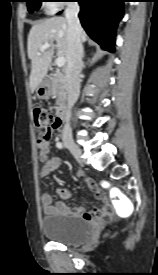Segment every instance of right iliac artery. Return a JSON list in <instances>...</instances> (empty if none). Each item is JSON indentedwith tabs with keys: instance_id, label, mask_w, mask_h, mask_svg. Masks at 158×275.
Instances as JSON below:
<instances>
[{
	"instance_id": "obj_1",
	"label": "right iliac artery",
	"mask_w": 158,
	"mask_h": 275,
	"mask_svg": "<svg viewBox=\"0 0 158 275\" xmlns=\"http://www.w3.org/2000/svg\"><path fill=\"white\" fill-rule=\"evenodd\" d=\"M56 146H57L58 148H63V147H64L63 144H62L61 142H58V143L56 144Z\"/></svg>"
}]
</instances>
